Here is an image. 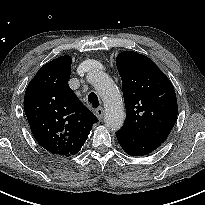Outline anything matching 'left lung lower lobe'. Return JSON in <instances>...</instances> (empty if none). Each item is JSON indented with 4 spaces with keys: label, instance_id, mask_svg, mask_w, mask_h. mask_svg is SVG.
<instances>
[{
    "label": "left lung lower lobe",
    "instance_id": "left-lung-lower-lobe-1",
    "mask_svg": "<svg viewBox=\"0 0 205 205\" xmlns=\"http://www.w3.org/2000/svg\"><path fill=\"white\" fill-rule=\"evenodd\" d=\"M116 137L123 150L131 156L147 155L162 144L123 128L116 132Z\"/></svg>",
    "mask_w": 205,
    "mask_h": 205
}]
</instances>
